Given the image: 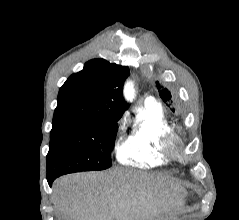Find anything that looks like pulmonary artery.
I'll return each mask as SVG.
<instances>
[{"instance_id":"1","label":"pulmonary artery","mask_w":239,"mask_h":220,"mask_svg":"<svg viewBox=\"0 0 239 220\" xmlns=\"http://www.w3.org/2000/svg\"><path fill=\"white\" fill-rule=\"evenodd\" d=\"M145 103H155V104H157L155 99L151 96H149L145 99Z\"/></svg>"}]
</instances>
